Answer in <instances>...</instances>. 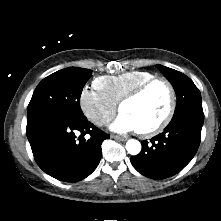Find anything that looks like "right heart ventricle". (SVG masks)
I'll use <instances>...</instances> for the list:
<instances>
[{"instance_id":"1","label":"right heart ventricle","mask_w":221,"mask_h":221,"mask_svg":"<svg viewBox=\"0 0 221 221\" xmlns=\"http://www.w3.org/2000/svg\"><path fill=\"white\" fill-rule=\"evenodd\" d=\"M154 77L148 71L134 70L119 75L100 76L94 86L106 97L118 104L120 100L135 87Z\"/></svg>"}]
</instances>
